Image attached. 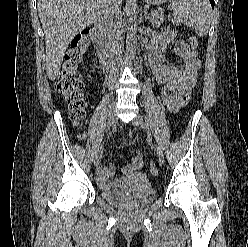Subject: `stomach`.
I'll return each mask as SVG.
<instances>
[{"label": "stomach", "mask_w": 248, "mask_h": 247, "mask_svg": "<svg viewBox=\"0 0 248 247\" xmlns=\"http://www.w3.org/2000/svg\"><path fill=\"white\" fill-rule=\"evenodd\" d=\"M164 0H144L148 5H158L162 3Z\"/></svg>", "instance_id": "stomach-1"}]
</instances>
